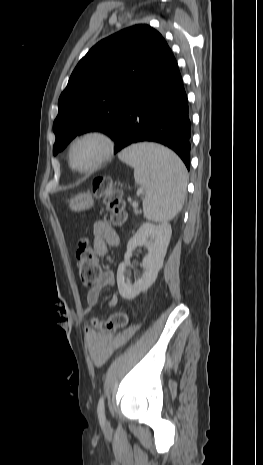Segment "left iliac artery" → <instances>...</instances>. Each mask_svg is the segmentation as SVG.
I'll use <instances>...</instances> for the list:
<instances>
[{"label":"left iliac artery","instance_id":"44dca946","mask_svg":"<svg viewBox=\"0 0 263 465\" xmlns=\"http://www.w3.org/2000/svg\"><path fill=\"white\" fill-rule=\"evenodd\" d=\"M97 413L98 417L101 423L105 422V408H104V397L101 396L98 402V407H97Z\"/></svg>","mask_w":263,"mask_h":465}]
</instances>
